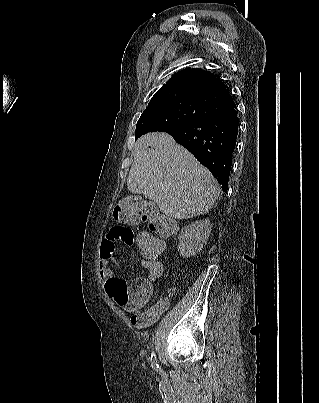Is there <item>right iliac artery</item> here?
Segmentation results:
<instances>
[{
	"instance_id": "82829eb1",
	"label": "right iliac artery",
	"mask_w": 319,
	"mask_h": 403,
	"mask_svg": "<svg viewBox=\"0 0 319 403\" xmlns=\"http://www.w3.org/2000/svg\"><path fill=\"white\" fill-rule=\"evenodd\" d=\"M151 365H152L153 369H158L159 368V366L157 364V361H156V355H155L154 351L151 354Z\"/></svg>"
}]
</instances>
